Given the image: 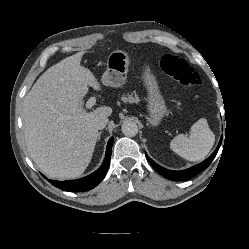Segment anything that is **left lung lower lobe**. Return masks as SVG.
Segmentation results:
<instances>
[{
  "label": "left lung lower lobe",
  "instance_id": "0a47b994",
  "mask_svg": "<svg viewBox=\"0 0 249 249\" xmlns=\"http://www.w3.org/2000/svg\"><path fill=\"white\" fill-rule=\"evenodd\" d=\"M222 142V137L219 141V145L218 147L215 149V151L212 153V155L207 158L206 160H204L202 163L197 164L191 168H188L186 170H181V171H172V170H168L165 169L163 167H161L160 165H158L157 163H155L152 159H150L147 155V159L148 161L152 164V166L160 173L162 174L164 177L171 179V180H188L192 177H194L195 175H197L198 173H200L201 171H203L205 168H207L210 163L212 162V160L215 158L220 145Z\"/></svg>",
  "mask_w": 249,
  "mask_h": 249
}]
</instances>
